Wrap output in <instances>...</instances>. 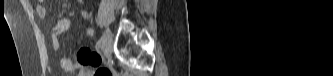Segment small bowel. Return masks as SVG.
Wrapping results in <instances>:
<instances>
[{
  "instance_id": "small-bowel-1",
  "label": "small bowel",
  "mask_w": 333,
  "mask_h": 76,
  "mask_svg": "<svg viewBox=\"0 0 333 76\" xmlns=\"http://www.w3.org/2000/svg\"><path fill=\"white\" fill-rule=\"evenodd\" d=\"M36 13L39 17L45 18L48 15V7L45 2H40L36 6ZM82 17L88 19L89 15L86 11H82ZM70 26V20L63 18L57 21L56 24L52 26V48L54 51H58L60 48V36L63 35ZM86 34L89 37L94 36L95 31L93 28L89 27L86 30ZM79 50L77 53V61L74 62L68 57L60 58V66L69 72L79 70L80 72L85 71L88 66L95 67L100 61L101 57L90 49L89 44H80ZM101 69V68H100Z\"/></svg>"
}]
</instances>
